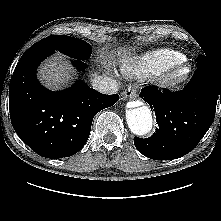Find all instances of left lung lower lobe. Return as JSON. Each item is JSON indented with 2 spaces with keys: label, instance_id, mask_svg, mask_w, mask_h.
<instances>
[{
  "label": "left lung lower lobe",
  "instance_id": "1",
  "mask_svg": "<svg viewBox=\"0 0 221 221\" xmlns=\"http://www.w3.org/2000/svg\"><path fill=\"white\" fill-rule=\"evenodd\" d=\"M140 97L154 109L158 128L149 138L135 137V147L151 159H176L192 151L212 125L221 103V70L197 69L183 90L148 86Z\"/></svg>",
  "mask_w": 221,
  "mask_h": 221
}]
</instances>
